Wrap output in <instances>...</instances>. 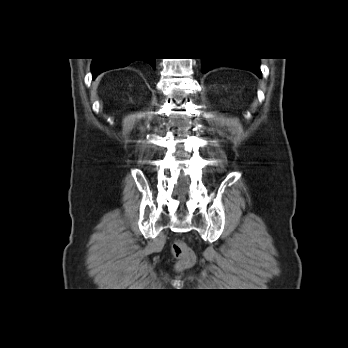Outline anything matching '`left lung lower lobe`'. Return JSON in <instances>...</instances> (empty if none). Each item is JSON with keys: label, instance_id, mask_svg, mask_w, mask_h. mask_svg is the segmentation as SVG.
I'll return each mask as SVG.
<instances>
[{"label": "left lung lower lobe", "instance_id": "left-lung-lower-lobe-1", "mask_svg": "<svg viewBox=\"0 0 348 348\" xmlns=\"http://www.w3.org/2000/svg\"><path fill=\"white\" fill-rule=\"evenodd\" d=\"M230 66L252 71L261 77L259 60L256 58H202V72L205 73L215 67Z\"/></svg>", "mask_w": 348, "mask_h": 348}]
</instances>
